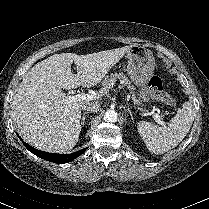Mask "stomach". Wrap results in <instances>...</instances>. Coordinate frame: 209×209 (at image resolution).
Returning <instances> with one entry per match:
<instances>
[{
  "mask_svg": "<svg viewBox=\"0 0 209 209\" xmlns=\"http://www.w3.org/2000/svg\"><path fill=\"white\" fill-rule=\"evenodd\" d=\"M127 72L131 81L139 86V97L143 102L150 101L148 82L155 69L153 53L142 46L133 45L127 52Z\"/></svg>",
  "mask_w": 209,
  "mask_h": 209,
  "instance_id": "1",
  "label": "stomach"
}]
</instances>
